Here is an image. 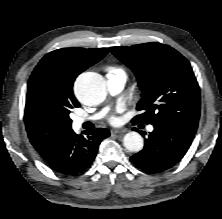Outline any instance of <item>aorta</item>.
I'll list each match as a JSON object with an SVG mask.
<instances>
[{
  "instance_id": "obj_1",
  "label": "aorta",
  "mask_w": 222,
  "mask_h": 219,
  "mask_svg": "<svg viewBox=\"0 0 222 219\" xmlns=\"http://www.w3.org/2000/svg\"><path fill=\"white\" fill-rule=\"evenodd\" d=\"M75 92L83 103L97 105L106 97L105 82L99 74L86 72L77 78ZM123 144L128 151L139 152L143 148L144 141L139 133L131 131L124 136Z\"/></svg>"
}]
</instances>
